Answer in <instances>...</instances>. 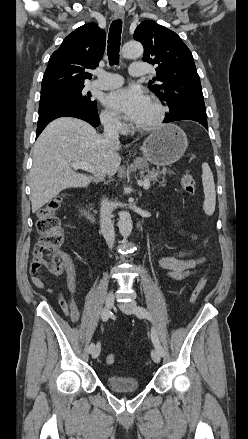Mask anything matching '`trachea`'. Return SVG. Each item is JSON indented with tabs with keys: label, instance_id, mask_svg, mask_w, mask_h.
I'll return each instance as SVG.
<instances>
[{
	"label": "trachea",
	"instance_id": "3493384b",
	"mask_svg": "<svg viewBox=\"0 0 248 439\" xmlns=\"http://www.w3.org/2000/svg\"><path fill=\"white\" fill-rule=\"evenodd\" d=\"M121 32L122 20H114L110 26L108 35V59L110 65L119 63Z\"/></svg>",
	"mask_w": 248,
	"mask_h": 439
}]
</instances>
